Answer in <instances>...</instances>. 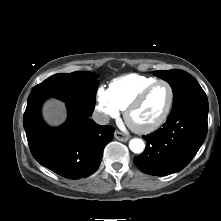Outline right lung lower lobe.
Masks as SVG:
<instances>
[{
  "label": "right lung lower lobe",
  "mask_w": 221,
  "mask_h": 221,
  "mask_svg": "<svg viewBox=\"0 0 221 221\" xmlns=\"http://www.w3.org/2000/svg\"><path fill=\"white\" fill-rule=\"evenodd\" d=\"M44 100L28 103L23 117L32 155L42 166L68 179L93 174L100 165L104 147L113 139L114 129L90 119L93 110L68 103L67 122L50 128L40 115Z\"/></svg>",
  "instance_id": "right-lung-lower-lobe-1"
}]
</instances>
